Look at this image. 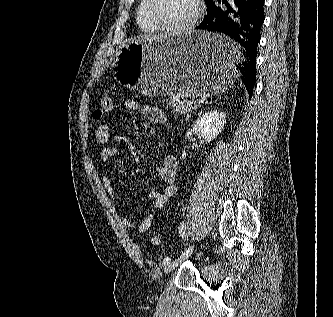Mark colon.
<instances>
[{"label": "colon", "instance_id": "obj_1", "mask_svg": "<svg viewBox=\"0 0 333 317\" xmlns=\"http://www.w3.org/2000/svg\"><path fill=\"white\" fill-rule=\"evenodd\" d=\"M111 98L107 95H103L101 97L98 98L96 106L94 108L93 111V118L95 120H100L102 119L104 116H106V114H108V112L111 110ZM161 242V238L158 234H154L151 237V243L153 245H159Z\"/></svg>", "mask_w": 333, "mask_h": 317}]
</instances>
